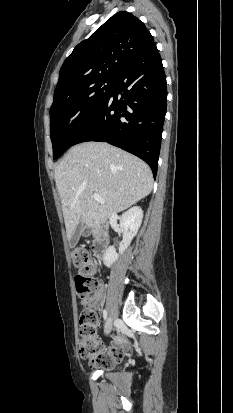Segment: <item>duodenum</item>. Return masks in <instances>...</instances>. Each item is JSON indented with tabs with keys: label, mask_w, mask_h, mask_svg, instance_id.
<instances>
[{
	"label": "duodenum",
	"mask_w": 233,
	"mask_h": 413,
	"mask_svg": "<svg viewBox=\"0 0 233 413\" xmlns=\"http://www.w3.org/2000/svg\"><path fill=\"white\" fill-rule=\"evenodd\" d=\"M109 236L104 229L98 228L95 230V240L93 243V253L97 258H101L108 246Z\"/></svg>",
	"instance_id": "duodenum-1"
}]
</instances>
